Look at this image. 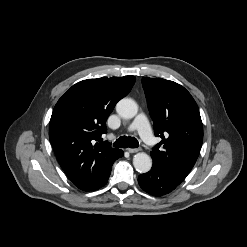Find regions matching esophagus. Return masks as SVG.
<instances>
[{
	"instance_id": "34e87169",
	"label": "esophagus",
	"mask_w": 247,
	"mask_h": 247,
	"mask_svg": "<svg viewBox=\"0 0 247 247\" xmlns=\"http://www.w3.org/2000/svg\"><path fill=\"white\" fill-rule=\"evenodd\" d=\"M127 151L129 153H136V152L140 151V149L139 148H128Z\"/></svg>"
}]
</instances>
